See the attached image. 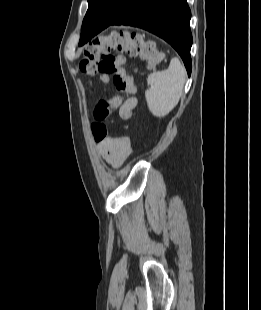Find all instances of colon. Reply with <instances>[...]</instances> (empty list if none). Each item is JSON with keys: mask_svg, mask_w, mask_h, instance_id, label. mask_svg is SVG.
I'll return each mask as SVG.
<instances>
[{"mask_svg": "<svg viewBox=\"0 0 261 310\" xmlns=\"http://www.w3.org/2000/svg\"><path fill=\"white\" fill-rule=\"evenodd\" d=\"M124 54L143 59L149 69H155L162 60L161 53L154 45L144 42L139 34L119 30L95 39L84 49L79 61L80 71L87 76L113 75L118 91L113 98L100 100L94 109L95 121L91 125V131L96 140L108 136L105 121L122 104L124 95L135 92L133 78L125 69Z\"/></svg>", "mask_w": 261, "mask_h": 310, "instance_id": "obj_1", "label": "colon"}]
</instances>
